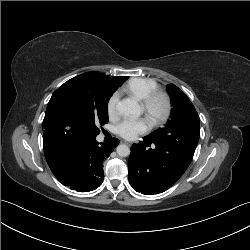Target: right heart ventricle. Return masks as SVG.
Masks as SVG:
<instances>
[{"label": "right heart ventricle", "mask_w": 250, "mask_h": 250, "mask_svg": "<svg viewBox=\"0 0 250 250\" xmlns=\"http://www.w3.org/2000/svg\"><path fill=\"white\" fill-rule=\"evenodd\" d=\"M158 89V83L152 78L137 77L130 79L122 88L138 100H143L149 93Z\"/></svg>", "instance_id": "e07e8e85"}]
</instances>
